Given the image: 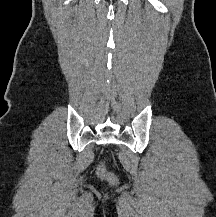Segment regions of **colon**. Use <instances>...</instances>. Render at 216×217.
I'll use <instances>...</instances> for the list:
<instances>
[{
    "instance_id": "colon-1",
    "label": "colon",
    "mask_w": 216,
    "mask_h": 217,
    "mask_svg": "<svg viewBox=\"0 0 216 217\" xmlns=\"http://www.w3.org/2000/svg\"><path fill=\"white\" fill-rule=\"evenodd\" d=\"M97 176L99 177V179L103 180V181H107V182H114L116 180L115 176L113 175L112 172H110L108 170V168L104 165H100L97 168Z\"/></svg>"
}]
</instances>
